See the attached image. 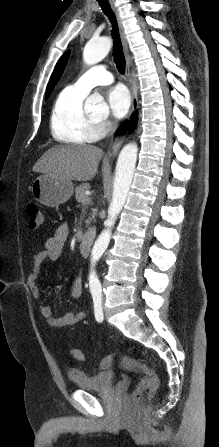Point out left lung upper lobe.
Returning <instances> with one entry per match:
<instances>
[{"label":"left lung upper lobe","instance_id":"1","mask_svg":"<svg viewBox=\"0 0 219 447\" xmlns=\"http://www.w3.org/2000/svg\"><path fill=\"white\" fill-rule=\"evenodd\" d=\"M68 54H69V53L66 52V53L60 58V60L58 61L57 65H56V67H55V69H54V71H53V73H52V75H51L50 81H49V83H48L47 90H46V97L49 96V94H50V92L52 91L54 85H55V84L57 83V81L59 80V78H60V76H61V74H62V72H63V70H64V67H65V65H66V62H67V59H68Z\"/></svg>","mask_w":219,"mask_h":447}]
</instances>
